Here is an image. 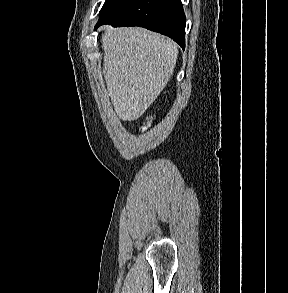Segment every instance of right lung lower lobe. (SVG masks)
<instances>
[{
	"instance_id": "right-lung-lower-lobe-1",
	"label": "right lung lower lobe",
	"mask_w": 288,
	"mask_h": 293,
	"mask_svg": "<svg viewBox=\"0 0 288 293\" xmlns=\"http://www.w3.org/2000/svg\"><path fill=\"white\" fill-rule=\"evenodd\" d=\"M103 24L144 27L169 36L185 47L186 17L181 0H129L95 29Z\"/></svg>"
}]
</instances>
